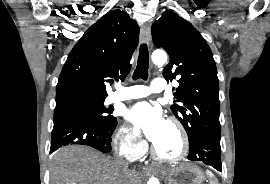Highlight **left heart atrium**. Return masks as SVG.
Here are the masks:
<instances>
[{
  "mask_svg": "<svg viewBox=\"0 0 270 184\" xmlns=\"http://www.w3.org/2000/svg\"><path fill=\"white\" fill-rule=\"evenodd\" d=\"M126 117L137 134L144 135L154 144L160 140L168 123L162 112L147 102H140L131 107Z\"/></svg>",
  "mask_w": 270,
  "mask_h": 184,
  "instance_id": "left-heart-atrium-1",
  "label": "left heart atrium"
}]
</instances>
